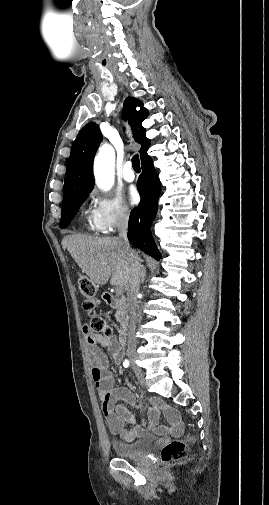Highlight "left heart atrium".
<instances>
[{
	"instance_id": "39dd6f15",
	"label": "left heart atrium",
	"mask_w": 269,
	"mask_h": 505,
	"mask_svg": "<svg viewBox=\"0 0 269 505\" xmlns=\"http://www.w3.org/2000/svg\"><path fill=\"white\" fill-rule=\"evenodd\" d=\"M128 200L132 205L136 204L139 200L138 192L134 187H130L128 190Z\"/></svg>"
}]
</instances>
